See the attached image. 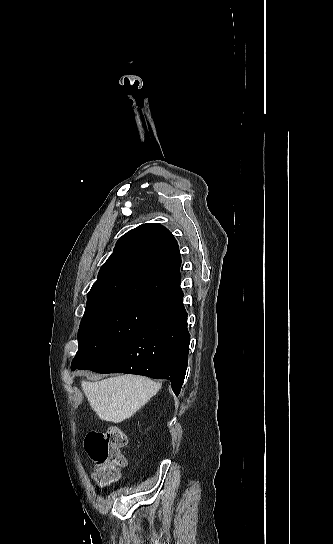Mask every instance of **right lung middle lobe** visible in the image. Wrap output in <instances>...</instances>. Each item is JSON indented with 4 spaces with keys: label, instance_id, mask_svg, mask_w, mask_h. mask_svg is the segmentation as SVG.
I'll return each mask as SVG.
<instances>
[{
    "label": "right lung middle lobe",
    "instance_id": "dd1d6c3e",
    "mask_svg": "<svg viewBox=\"0 0 333 544\" xmlns=\"http://www.w3.org/2000/svg\"><path fill=\"white\" fill-rule=\"evenodd\" d=\"M169 304L141 296L87 302L78 332L79 349L71 367L85 364L127 341Z\"/></svg>",
    "mask_w": 333,
    "mask_h": 544
}]
</instances>
